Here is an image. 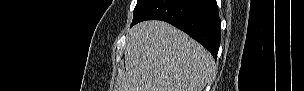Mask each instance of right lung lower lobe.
<instances>
[{"mask_svg": "<svg viewBox=\"0 0 304 91\" xmlns=\"http://www.w3.org/2000/svg\"><path fill=\"white\" fill-rule=\"evenodd\" d=\"M154 19L166 21L186 32L217 58L221 20L216 0H151L131 26Z\"/></svg>", "mask_w": 304, "mask_h": 91, "instance_id": "obj_1", "label": "right lung lower lobe"}]
</instances>
